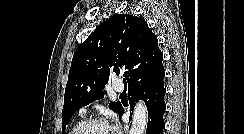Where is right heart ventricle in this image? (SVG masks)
I'll use <instances>...</instances> for the list:
<instances>
[{"instance_id": "e07e8e85", "label": "right heart ventricle", "mask_w": 244, "mask_h": 134, "mask_svg": "<svg viewBox=\"0 0 244 134\" xmlns=\"http://www.w3.org/2000/svg\"><path fill=\"white\" fill-rule=\"evenodd\" d=\"M83 123V120H77L71 127L68 134H75L78 127Z\"/></svg>"}]
</instances>
